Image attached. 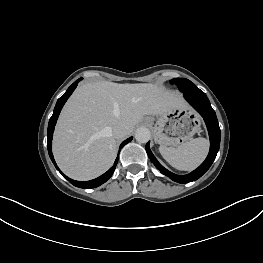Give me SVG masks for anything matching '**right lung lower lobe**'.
<instances>
[{"label": "right lung lower lobe", "instance_id": "obj_1", "mask_svg": "<svg viewBox=\"0 0 263 263\" xmlns=\"http://www.w3.org/2000/svg\"><path fill=\"white\" fill-rule=\"evenodd\" d=\"M82 78L76 80L69 88L68 90L65 92V94L63 96H61L57 103L56 106L54 108L53 111V115L50 118L49 124H48V131H47V148H48V152H49V156L52 160V162L54 163L55 167L57 168V170L74 186H77L79 188H85V189H90V188H95L98 187L100 185H102L103 183H105L114 173V170L116 168L117 162H118V158H116L114 165L103 175H101L100 177L90 180V181H75L72 180L70 178H68L67 176H65L60 169L57 167L53 154H52V137H53V131H54V127L57 121V118L59 116V113L63 107V105L65 104V102L67 101V99L69 98V96L72 94V92L75 90V88L77 87L78 82L81 80ZM133 137L128 138L127 140L123 141L120 148H122L125 144H127L128 142H130L132 140Z\"/></svg>", "mask_w": 263, "mask_h": 263}]
</instances>
